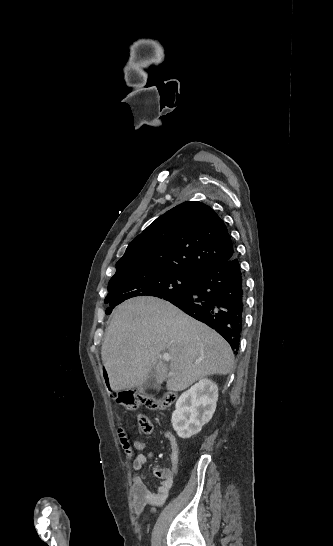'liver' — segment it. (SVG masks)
I'll return each instance as SVG.
<instances>
[{
  "label": "liver",
  "instance_id": "obj_1",
  "mask_svg": "<svg viewBox=\"0 0 333 546\" xmlns=\"http://www.w3.org/2000/svg\"><path fill=\"white\" fill-rule=\"evenodd\" d=\"M162 353L171 356L165 363ZM112 391L132 389L153 374L158 384L184 390L205 376L227 375L233 352L214 330L170 303L138 297L124 301L112 314L101 349Z\"/></svg>",
  "mask_w": 333,
  "mask_h": 546
}]
</instances>
